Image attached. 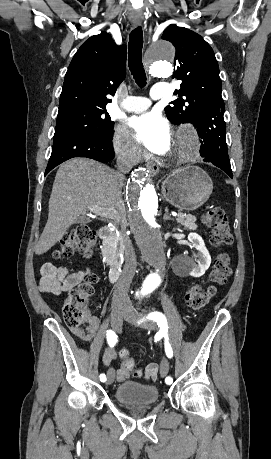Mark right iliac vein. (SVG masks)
<instances>
[{"instance_id":"63e3f726","label":"right iliac vein","mask_w":271,"mask_h":459,"mask_svg":"<svg viewBox=\"0 0 271 459\" xmlns=\"http://www.w3.org/2000/svg\"><path fill=\"white\" fill-rule=\"evenodd\" d=\"M111 312H112L111 313V324L113 328L117 332H119L123 324V316L126 312V309L124 310L114 309ZM114 376H115V370L113 368H110L107 371V380H106L107 385H110L113 382Z\"/></svg>"}]
</instances>
